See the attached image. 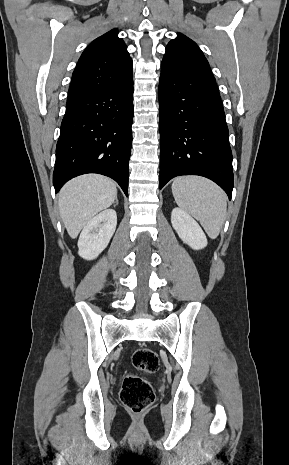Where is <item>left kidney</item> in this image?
<instances>
[{
  "instance_id": "left-kidney-1",
  "label": "left kidney",
  "mask_w": 289,
  "mask_h": 465,
  "mask_svg": "<svg viewBox=\"0 0 289 465\" xmlns=\"http://www.w3.org/2000/svg\"><path fill=\"white\" fill-rule=\"evenodd\" d=\"M171 223L181 240L192 249L199 250L207 246V238L199 224L182 209L172 210Z\"/></svg>"
}]
</instances>
